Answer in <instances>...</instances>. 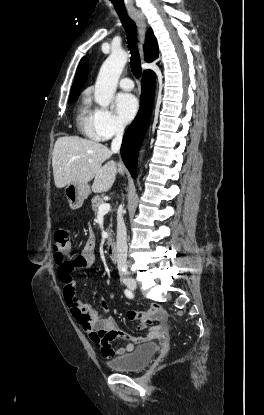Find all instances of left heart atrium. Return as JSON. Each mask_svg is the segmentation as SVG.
I'll list each match as a JSON object with an SVG mask.
<instances>
[{
    "mask_svg": "<svg viewBox=\"0 0 264 415\" xmlns=\"http://www.w3.org/2000/svg\"><path fill=\"white\" fill-rule=\"evenodd\" d=\"M115 109L119 119L127 123L135 117L138 110V101L132 94L120 93L115 98Z\"/></svg>",
    "mask_w": 264,
    "mask_h": 415,
    "instance_id": "1",
    "label": "left heart atrium"
}]
</instances>
